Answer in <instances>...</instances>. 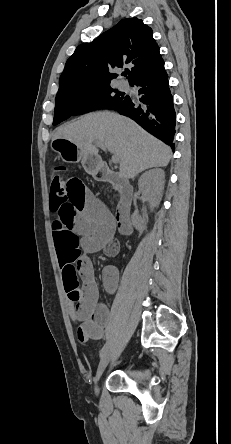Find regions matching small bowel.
I'll return each mask as SVG.
<instances>
[{
	"instance_id": "1",
	"label": "small bowel",
	"mask_w": 231,
	"mask_h": 444,
	"mask_svg": "<svg viewBox=\"0 0 231 444\" xmlns=\"http://www.w3.org/2000/svg\"><path fill=\"white\" fill-rule=\"evenodd\" d=\"M67 187L64 199L51 198L50 208L55 213L52 234L68 314L76 325L78 340L85 343L102 339L111 320L108 307L99 302L94 268L86 254L103 251L114 257L120 246L114 238L112 216L102 202L76 177L69 179ZM102 282L109 294L115 293L119 284L115 266L103 268Z\"/></svg>"
}]
</instances>
